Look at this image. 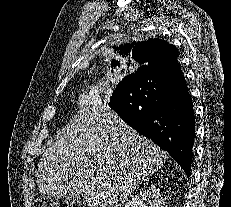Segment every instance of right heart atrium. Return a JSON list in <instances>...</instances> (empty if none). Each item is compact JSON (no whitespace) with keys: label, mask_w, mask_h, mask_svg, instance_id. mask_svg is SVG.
I'll return each instance as SVG.
<instances>
[{"label":"right heart atrium","mask_w":231,"mask_h":207,"mask_svg":"<svg viewBox=\"0 0 231 207\" xmlns=\"http://www.w3.org/2000/svg\"><path fill=\"white\" fill-rule=\"evenodd\" d=\"M102 103L101 95L97 90L80 92L75 99L77 109L85 113H94L101 108Z\"/></svg>","instance_id":"1"}]
</instances>
